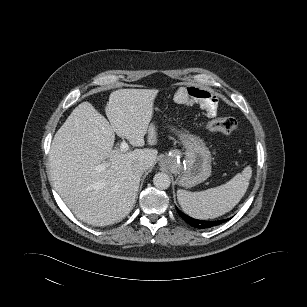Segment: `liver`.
<instances>
[{"label":"liver","instance_id":"6515ba94","mask_svg":"<svg viewBox=\"0 0 307 307\" xmlns=\"http://www.w3.org/2000/svg\"><path fill=\"white\" fill-rule=\"evenodd\" d=\"M157 89H119L106 106L108 120L89 102H82L56 132L49 154L54 188L77 218L94 226L123 219L133 208L142 174L137 163L150 169L158 151L113 149L115 132L134 147L157 143L151 122ZM110 122V123H109ZM107 160V161H105ZM106 162L104 170L97 166Z\"/></svg>","mask_w":307,"mask_h":307}]
</instances>
